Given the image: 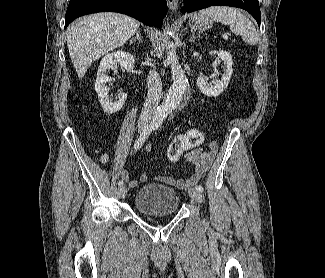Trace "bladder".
Segmentation results:
<instances>
[{"label":"bladder","instance_id":"1","mask_svg":"<svg viewBox=\"0 0 325 278\" xmlns=\"http://www.w3.org/2000/svg\"><path fill=\"white\" fill-rule=\"evenodd\" d=\"M180 197L172 187L161 183L142 185L136 193L134 206L145 215H167L179 210Z\"/></svg>","mask_w":325,"mask_h":278}]
</instances>
